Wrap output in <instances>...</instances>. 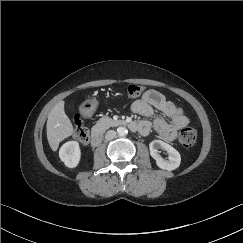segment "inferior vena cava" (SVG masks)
Here are the masks:
<instances>
[{
	"label": "inferior vena cava",
	"mask_w": 243,
	"mask_h": 243,
	"mask_svg": "<svg viewBox=\"0 0 243 243\" xmlns=\"http://www.w3.org/2000/svg\"><path fill=\"white\" fill-rule=\"evenodd\" d=\"M116 137V132L114 130H109L105 134V139L106 140H113Z\"/></svg>",
	"instance_id": "1"
}]
</instances>
